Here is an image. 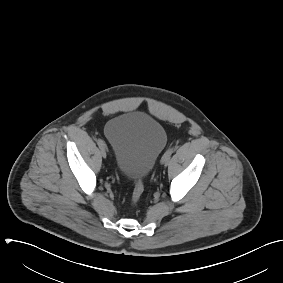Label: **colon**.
Wrapping results in <instances>:
<instances>
[{
  "label": "colon",
  "instance_id": "obj_1",
  "mask_svg": "<svg viewBox=\"0 0 283 283\" xmlns=\"http://www.w3.org/2000/svg\"><path fill=\"white\" fill-rule=\"evenodd\" d=\"M143 191H144L143 180L142 178H137L135 181V185H134V189L132 193V203L133 204H136L139 201Z\"/></svg>",
  "mask_w": 283,
  "mask_h": 283
}]
</instances>
